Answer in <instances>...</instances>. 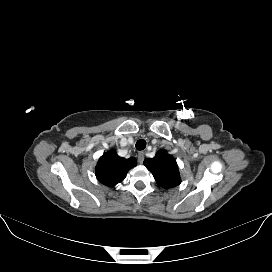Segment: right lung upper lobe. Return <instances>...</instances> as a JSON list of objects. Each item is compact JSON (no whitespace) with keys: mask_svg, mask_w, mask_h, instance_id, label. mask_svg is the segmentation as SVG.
I'll use <instances>...</instances> for the list:
<instances>
[{"mask_svg":"<svg viewBox=\"0 0 272 272\" xmlns=\"http://www.w3.org/2000/svg\"><path fill=\"white\" fill-rule=\"evenodd\" d=\"M137 161L134 157L128 159L117 155L115 150L106 152L99 159L95 174L99 182L112 187L124 180L127 172L135 167Z\"/></svg>","mask_w":272,"mask_h":272,"instance_id":"obj_1","label":"right lung upper lobe"}]
</instances>
